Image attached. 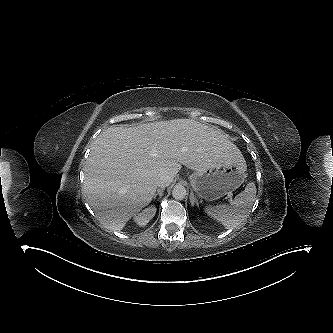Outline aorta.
<instances>
[{"label":"aorta","instance_id":"obj_1","mask_svg":"<svg viewBox=\"0 0 333 333\" xmlns=\"http://www.w3.org/2000/svg\"><path fill=\"white\" fill-rule=\"evenodd\" d=\"M172 196L176 200H183L186 196V188L183 185H175L172 190Z\"/></svg>","mask_w":333,"mask_h":333}]
</instances>
